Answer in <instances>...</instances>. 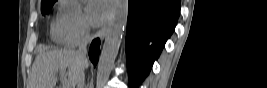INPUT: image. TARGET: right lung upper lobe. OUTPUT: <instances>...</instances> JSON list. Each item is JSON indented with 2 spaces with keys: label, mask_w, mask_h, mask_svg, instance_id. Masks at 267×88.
Instances as JSON below:
<instances>
[{
  "label": "right lung upper lobe",
  "mask_w": 267,
  "mask_h": 88,
  "mask_svg": "<svg viewBox=\"0 0 267 88\" xmlns=\"http://www.w3.org/2000/svg\"><path fill=\"white\" fill-rule=\"evenodd\" d=\"M49 1V0H42V2Z\"/></svg>",
  "instance_id": "right-lung-upper-lobe-1"
}]
</instances>
